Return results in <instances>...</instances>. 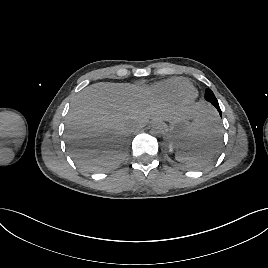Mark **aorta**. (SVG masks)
I'll list each match as a JSON object with an SVG mask.
<instances>
[{
    "instance_id": "obj_1",
    "label": "aorta",
    "mask_w": 268,
    "mask_h": 268,
    "mask_svg": "<svg viewBox=\"0 0 268 268\" xmlns=\"http://www.w3.org/2000/svg\"><path fill=\"white\" fill-rule=\"evenodd\" d=\"M150 133L155 137H160L164 134V129L161 126H154Z\"/></svg>"
}]
</instances>
